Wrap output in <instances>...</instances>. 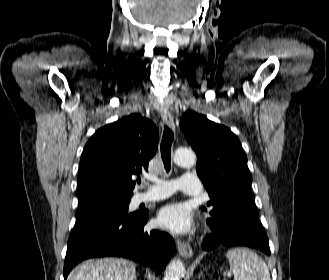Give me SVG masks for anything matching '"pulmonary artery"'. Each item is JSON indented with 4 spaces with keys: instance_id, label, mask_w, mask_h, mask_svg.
<instances>
[{
    "instance_id": "pulmonary-artery-1",
    "label": "pulmonary artery",
    "mask_w": 329,
    "mask_h": 280,
    "mask_svg": "<svg viewBox=\"0 0 329 280\" xmlns=\"http://www.w3.org/2000/svg\"><path fill=\"white\" fill-rule=\"evenodd\" d=\"M176 186L190 197L199 196L201 190L199 178L193 173H186L177 183L156 180V184L149 191L137 195V200L147 203L165 199L173 193Z\"/></svg>"
}]
</instances>
